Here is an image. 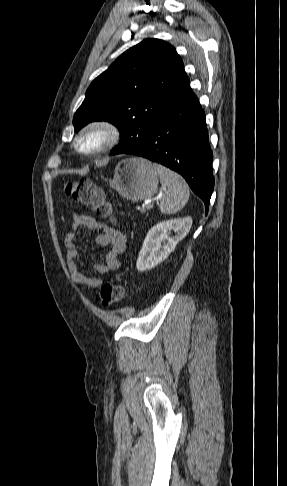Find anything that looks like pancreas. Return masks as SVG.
Returning a JSON list of instances; mask_svg holds the SVG:
<instances>
[{
	"instance_id": "obj_1",
	"label": "pancreas",
	"mask_w": 287,
	"mask_h": 486,
	"mask_svg": "<svg viewBox=\"0 0 287 486\" xmlns=\"http://www.w3.org/2000/svg\"><path fill=\"white\" fill-rule=\"evenodd\" d=\"M141 212H142V213H145V212H146V208H142V209H141Z\"/></svg>"
}]
</instances>
